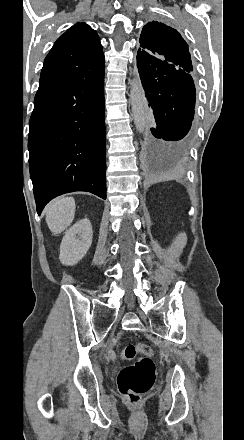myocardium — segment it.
<instances>
[{
	"mask_svg": "<svg viewBox=\"0 0 244 440\" xmlns=\"http://www.w3.org/2000/svg\"><path fill=\"white\" fill-rule=\"evenodd\" d=\"M108 183H109V179H108V177H107V179H106V184L108 185Z\"/></svg>",
	"mask_w": 244,
	"mask_h": 440,
	"instance_id": "obj_1",
	"label": "myocardium"
}]
</instances>
